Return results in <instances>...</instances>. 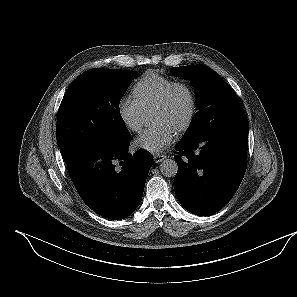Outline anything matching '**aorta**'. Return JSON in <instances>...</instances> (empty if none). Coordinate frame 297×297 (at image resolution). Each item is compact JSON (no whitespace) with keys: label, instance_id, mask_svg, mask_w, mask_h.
Returning <instances> with one entry per match:
<instances>
[{"label":"aorta","instance_id":"1","mask_svg":"<svg viewBox=\"0 0 297 297\" xmlns=\"http://www.w3.org/2000/svg\"><path fill=\"white\" fill-rule=\"evenodd\" d=\"M160 171L166 177H173L178 171V165L175 160L164 159L160 164Z\"/></svg>","mask_w":297,"mask_h":297}]
</instances>
